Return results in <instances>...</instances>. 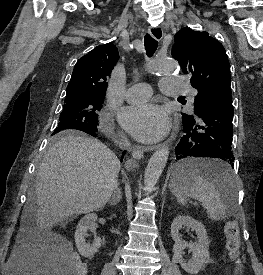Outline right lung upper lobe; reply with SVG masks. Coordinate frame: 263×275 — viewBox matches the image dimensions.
Returning <instances> with one entry per match:
<instances>
[{
	"mask_svg": "<svg viewBox=\"0 0 263 275\" xmlns=\"http://www.w3.org/2000/svg\"><path fill=\"white\" fill-rule=\"evenodd\" d=\"M118 60V50L112 43L99 45L81 57L67 86L66 98L79 95L105 97L106 81Z\"/></svg>",
	"mask_w": 263,
	"mask_h": 275,
	"instance_id": "cb5924a9",
	"label": "right lung upper lobe"
}]
</instances>
